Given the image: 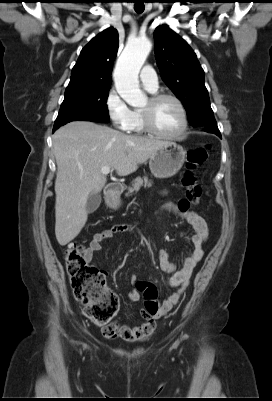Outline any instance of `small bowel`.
<instances>
[{
  "mask_svg": "<svg viewBox=\"0 0 272 401\" xmlns=\"http://www.w3.org/2000/svg\"><path fill=\"white\" fill-rule=\"evenodd\" d=\"M164 211L172 212L182 219H184L192 228L193 234L191 242L193 245L192 251L185 258L181 268L177 269L176 266L169 260L168 253L165 250L159 251V265L162 271L168 273L169 286L175 288V291L169 295L168 298L161 303L158 299L152 302L158 304V311L152 315L144 314L145 321L135 327L113 323L111 324L113 333L111 337H119L129 342L140 341L148 338L155 329V320L166 315L175 306L185 291L188 288L189 280L193 269L197 263L202 259L204 252L202 246L208 238L209 230L206 219L196 211L191 210L190 204L187 200H180L177 203H167L163 207ZM132 231V227L127 224H117L111 228L95 232L89 242L85 251V259L91 262L94 255L101 250V243L105 239H109L116 234ZM132 289L128 294V299L131 302H138L140 300L141 291L138 289L136 276H131Z\"/></svg>",
  "mask_w": 272,
  "mask_h": 401,
  "instance_id": "obj_1",
  "label": "small bowel"
}]
</instances>
